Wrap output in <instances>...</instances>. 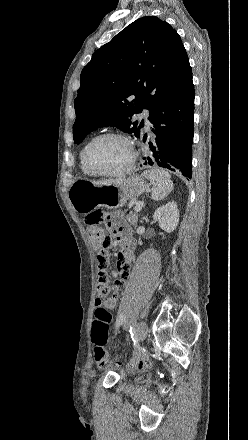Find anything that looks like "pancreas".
I'll use <instances>...</instances> for the list:
<instances>
[{
  "mask_svg": "<svg viewBox=\"0 0 248 440\" xmlns=\"http://www.w3.org/2000/svg\"><path fill=\"white\" fill-rule=\"evenodd\" d=\"M129 222L136 227L137 226V221H138V213L137 212H130L129 215L127 216Z\"/></svg>",
  "mask_w": 248,
  "mask_h": 440,
  "instance_id": "obj_1",
  "label": "pancreas"
}]
</instances>
